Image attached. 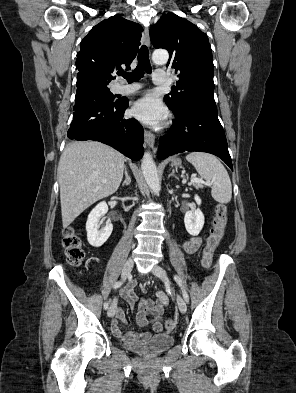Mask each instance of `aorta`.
Wrapping results in <instances>:
<instances>
[{"label":"aorta","mask_w":296,"mask_h":393,"mask_svg":"<svg viewBox=\"0 0 296 393\" xmlns=\"http://www.w3.org/2000/svg\"><path fill=\"white\" fill-rule=\"evenodd\" d=\"M168 58L169 54L166 50H155L152 54V60L155 64H165L167 63ZM141 169L148 186L155 194L158 195L160 192L159 177L156 165L149 152L144 153L141 163Z\"/></svg>","instance_id":"obj_1"}]
</instances>
